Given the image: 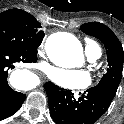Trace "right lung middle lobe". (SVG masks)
Wrapping results in <instances>:
<instances>
[{
	"label": "right lung middle lobe",
	"instance_id": "right-lung-middle-lobe-1",
	"mask_svg": "<svg viewBox=\"0 0 124 124\" xmlns=\"http://www.w3.org/2000/svg\"><path fill=\"white\" fill-rule=\"evenodd\" d=\"M41 24L21 9H10L0 13V46L37 54L44 32Z\"/></svg>",
	"mask_w": 124,
	"mask_h": 124
}]
</instances>
